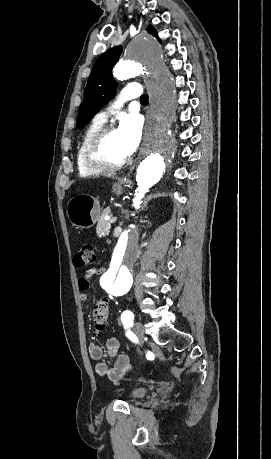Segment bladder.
I'll use <instances>...</instances> for the list:
<instances>
[{"label":"bladder","instance_id":"31cf9c89","mask_svg":"<svg viewBox=\"0 0 271 459\" xmlns=\"http://www.w3.org/2000/svg\"><path fill=\"white\" fill-rule=\"evenodd\" d=\"M148 392H149V387L134 388L131 390V397L133 399H137L139 397L146 396Z\"/></svg>","mask_w":271,"mask_h":459}]
</instances>
